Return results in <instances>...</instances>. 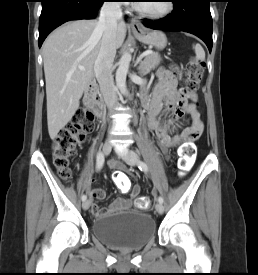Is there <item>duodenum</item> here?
Listing matches in <instances>:
<instances>
[{"label":"duodenum","instance_id":"duodenum-1","mask_svg":"<svg viewBox=\"0 0 258 275\" xmlns=\"http://www.w3.org/2000/svg\"><path fill=\"white\" fill-rule=\"evenodd\" d=\"M84 103L97 118H102L103 107L101 103V94L94 81H89L86 86Z\"/></svg>","mask_w":258,"mask_h":275}]
</instances>
